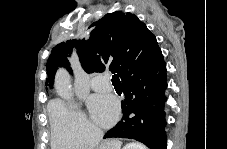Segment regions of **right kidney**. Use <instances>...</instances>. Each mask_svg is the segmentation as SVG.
Segmentation results:
<instances>
[{"instance_id": "obj_1", "label": "right kidney", "mask_w": 227, "mask_h": 149, "mask_svg": "<svg viewBox=\"0 0 227 149\" xmlns=\"http://www.w3.org/2000/svg\"><path fill=\"white\" fill-rule=\"evenodd\" d=\"M125 149H142L140 144H129L125 147Z\"/></svg>"}]
</instances>
